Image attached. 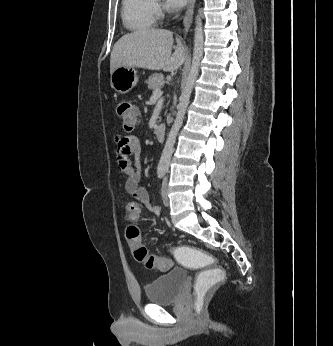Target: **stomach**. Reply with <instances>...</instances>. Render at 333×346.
<instances>
[{"mask_svg": "<svg viewBox=\"0 0 333 346\" xmlns=\"http://www.w3.org/2000/svg\"><path fill=\"white\" fill-rule=\"evenodd\" d=\"M137 82V71L132 67L121 66L111 73V87L120 94L128 93Z\"/></svg>", "mask_w": 333, "mask_h": 346, "instance_id": "stomach-1", "label": "stomach"}]
</instances>
